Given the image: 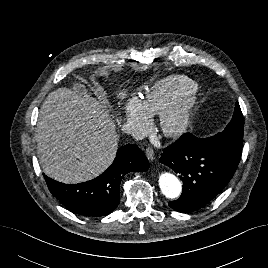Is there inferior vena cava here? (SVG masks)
Wrapping results in <instances>:
<instances>
[{"label":"inferior vena cava","mask_w":268,"mask_h":268,"mask_svg":"<svg viewBox=\"0 0 268 268\" xmlns=\"http://www.w3.org/2000/svg\"><path fill=\"white\" fill-rule=\"evenodd\" d=\"M122 131L127 133V134L132 135L135 139H141L142 138V136L139 134L138 130L135 127H133V126H131L129 124L123 125Z\"/></svg>","instance_id":"obj_1"}]
</instances>
